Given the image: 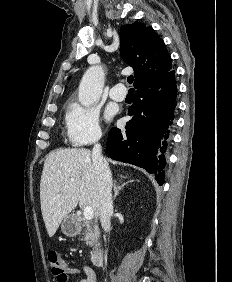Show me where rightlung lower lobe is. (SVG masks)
Here are the masks:
<instances>
[{
    "instance_id": "right-lung-lower-lobe-1",
    "label": "right lung lower lobe",
    "mask_w": 232,
    "mask_h": 282,
    "mask_svg": "<svg viewBox=\"0 0 232 282\" xmlns=\"http://www.w3.org/2000/svg\"><path fill=\"white\" fill-rule=\"evenodd\" d=\"M134 103L128 109L131 119L125 129L113 127L106 150L117 161L130 163L154 173L164 183L165 157L170 129L174 120L177 87L175 72L145 80L136 87Z\"/></svg>"
}]
</instances>
